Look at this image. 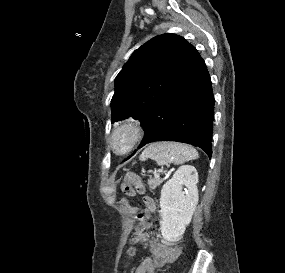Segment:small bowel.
I'll return each instance as SVG.
<instances>
[{"label":"small bowel","mask_w":285,"mask_h":273,"mask_svg":"<svg viewBox=\"0 0 285 273\" xmlns=\"http://www.w3.org/2000/svg\"><path fill=\"white\" fill-rule=\"evenodd\" d=\"M143 204L147 212H156L157 203L153 198L144 197ZM148 237L149 231L144 233L139 243H146ZM150 252L151 256L143 259V261L134 270V273H155V270L157 268L164 266L168 262L174 261L179 255L180 249L176 246H170L159 242H152L150 244Z\"/></svg>","instance_id":"small-bowel-1"}]
</instances>
